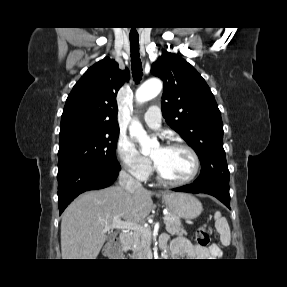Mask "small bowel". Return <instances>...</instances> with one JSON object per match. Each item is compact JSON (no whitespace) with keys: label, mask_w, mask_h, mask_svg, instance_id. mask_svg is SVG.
Segmentation results:
<instances>
[{"label":"small bowel","mask_w":287,"mask_h":287,"mask_svg":"<svg viewBox=\"0 0 287 287\" xmlns=\"http://www.w3.org/2000/svg\"><path fill=\"white\" fill-rule=\"evenodd\" d=\"M160 246L163 249L169 248V254L172 257H186L190 259H208L212 256H217L220 249L216 244L210 247H202L193 245L183 237H177L170 240L167 235H162L159 240Z\"/></svg>","instance_id":"1"}]
</instances>
